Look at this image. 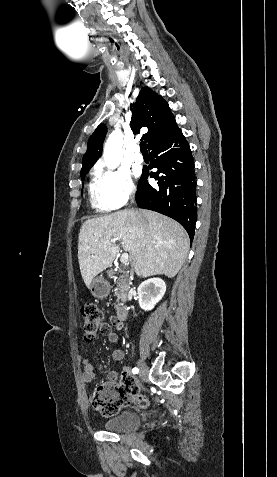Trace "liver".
I'll use <instances>...</instances> for the list:
<instances>
[{
	"label": "liver",
	"mask_w": 277,
	"mask_h": 477,
	"mask_svg": "<svg viewBox=\"0 0 277 477\" xmlns=\"http://www.w3.org/2000/svg\"><path fill=\"white\" fill-rule=\"evenodd\" d=\"M121 240L129 252L136 275L173 278L189 251L185 229L175 220L150 210H121L86 220L78 238V260L85 285L110 267L120 251Z\"/></svg>",
	"instance_id": "6515ba94"
}]
</instances>
